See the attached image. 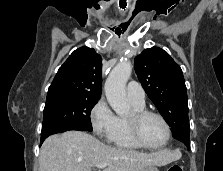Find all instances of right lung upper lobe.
I'll return each instance as SVG.
<instances>
[{"label": "right lung upper lobe", "instance_id": "1", "mask_svg": "<svg viewBox=\"0 0 223 171\" xmlns=\"http://www.w3.org/2000/svg\"><path fill=\"white\" fill-rule=\"evenodd\" d=\"M102 58L93 48L76 49L59 68L47 99L59 96H101Z\"/></svg>", "mask_w": 223, "mask_h": 171}]
</instances>
